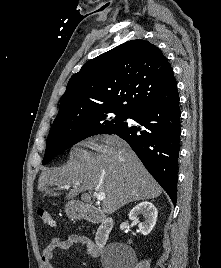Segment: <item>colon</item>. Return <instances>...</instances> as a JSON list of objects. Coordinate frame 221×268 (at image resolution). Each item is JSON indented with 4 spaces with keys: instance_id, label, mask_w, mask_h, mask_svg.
Wrapping results in <instances>:
<instances>
[{
    "instance_id": "1",
    "label": "colon",
    "mask_w": 221,
    "mask_h": 268,
    "mask_svg": "<svg viewBox=\"0 0 221 268\" xmlns=\"http://www.w3.org/2000/svg\"><path fill=\"white\" fill-rule=\"evenodd\" d=\"M38 215L41 218V220L48 225L49 227H54L55 226V221L53 220L51 214L49 211L45 209H39L38 210Z\"/></svg>"
}]
</instances>
